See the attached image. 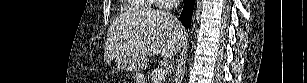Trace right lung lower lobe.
Masks as SVG:
<instances>
[{"label":"right lung lower lobe","instance_id":"obj_1","mask_svg":"<svg viewBox=\"0 0 307 83\" xmlns=\"http://www.w3.org/2000/svg\"><path fill=\"white\" fill-rule=\"evenodd\" d=\"M194 4L195 0H185V5L181 13V22L186 28L190 26Z\"/></svg>","mask_w":307,"mask_h":83}]
</instances>
